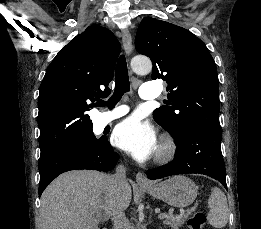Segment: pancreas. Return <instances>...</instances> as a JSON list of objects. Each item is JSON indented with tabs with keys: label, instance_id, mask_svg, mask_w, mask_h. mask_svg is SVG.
<instances>
[{
	"label": "pancreas",
	"instance_id": "cf45deb5",
	"mask_svg": "<svg viewBox=\"0 0 261 229\" xmlns=\"http://www.w3.org/2000/svg\"><path fill=\"white\" fill-rule=\"evenodd\" d=\"M192 209H188V211H184L181 215H176V217H180V219H172V217H165V221H163V225H169L171 229H180L185 225L186 219H188L189 215H191Z\"/></svg>",
	"mask_w": 261,
	"mask_h": 229
}]
</instances>
